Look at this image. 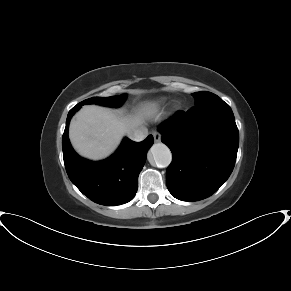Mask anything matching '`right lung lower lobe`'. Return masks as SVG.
Masks as SVG:
<instances>
[{
  "instance_id": "obj_1",
  "label": "right lung lower lobe",
  "mask_w": 291,
  "mask_h": 291,
  "mask_svg": "<svg viewBox=\"0 0 291 291\" xmlns=\"http://www.w3.org/2000/svg\"><path fill=\"white\" fill-rule=\"evenodd\" d=\"M79 109L76 105L69 111L62 137L64 164L71 182L95 203L114 206L129 202L137 192L138 176L153 137L149 135L142 142L124 138L117 151L106 160H86L75 153L68 139L70 119Z\"/></svg>"
}]
</instances>
